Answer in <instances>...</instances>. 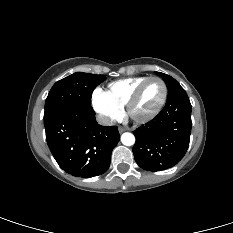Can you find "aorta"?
Returning <instances> with one entry per match:
<instances>
[{"mask_svg": "<svg viewBox=\"0 0 233 233\" xmlns=\"http://www.w3.org/2000/svg\"><path fill=\"white\" fill-rule=\"evenodd\" d=\"M121 142L125 146H132L135 143V136L129 132L123 133L121 136Z\"/></svg>", "mask_w": 233, "mask_h": 233, "instance_id": "1", "label": "aorta"}]
</instances>
